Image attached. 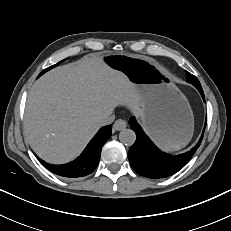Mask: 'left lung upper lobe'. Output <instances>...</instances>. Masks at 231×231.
Returning <instances> with one entry per match:
<instances>
[{
    "mask_svg": "<svg viewBox=\"0 0 231 231\" xmlns=\"http://www.w3.org/2000/svg\"><path fill=\"white\" fill-rule=\"evenodd\" d=\"M186 73H187V81L189 83L193 84L197 89L202 88L200 82L198 81V79L194 75H192L189 72H186Z\"/></svg>",
    "mask_w": 231,
    "mask_h": 231,
    "instance_id": "left-lung-upper-lobe-1",
    "label": "left lung upper lobe"
}]
</instances>
